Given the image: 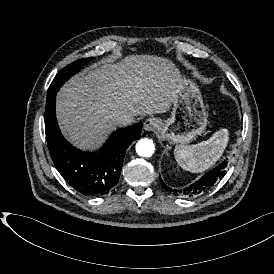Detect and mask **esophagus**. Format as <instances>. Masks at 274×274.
<instances>
[{"instance_id":"1","label":"esophagus","mask_w":274,"mask_h":274,"mask_svg":"<svg viewBox=\"0 0 274 274\" xmlns=\"http://www.w3.org/2000/svg\"><path fill=\"white\" fill-rule=\"evenodd\" d=\"M158 120L155 118H148L143 125V128L145 131L150 132L157 128L158 126Z\"/></svg>"}]
</instances>
